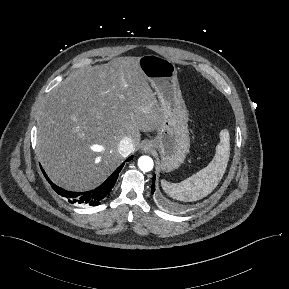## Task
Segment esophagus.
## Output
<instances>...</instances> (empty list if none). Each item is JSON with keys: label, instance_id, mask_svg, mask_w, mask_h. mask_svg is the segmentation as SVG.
Instances as JSON below:
<instances>
[{"label": "esophagus", "instance_id": "1", "mask_svg": "<svg viewBox=\"0 0 289 289\" xmlns=\"http://www.w3.org/2000/svg\"><path fill=\"white\" fill-rule=\"evenodd\" d=\"M151 150H152V144L150 142L147 141L142 145V151L144 153H149Z\"/></svg>", "mask_w": 289, "mask_h": 289}]
</instances>
